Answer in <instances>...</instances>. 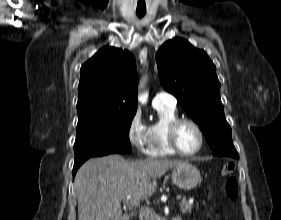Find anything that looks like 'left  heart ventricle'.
<instances>
[{
	"instance_id": "left-heart-ventricle-1",
	"label": "left heart ventricle",
	"mask_w": 281,
	"mask_h": 220,
	"mask_svg": "<svg viewBox=\"0 0 281 220\" xmlns=\"http://www.w3.org/2000/svg\"><path fill=\"white\" fill-rule=\"evenodd\" d=\"M177 141L185 152H192L199 146L200 138L197 130L190 124H182L177 131Z\"/></svg>"
}]
</instances>
